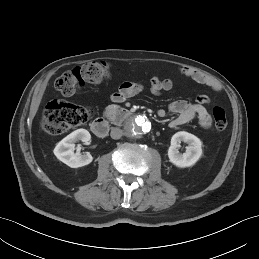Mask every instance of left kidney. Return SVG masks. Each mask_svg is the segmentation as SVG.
<instances>
[{
    "label": "left kidney",
    "instance_id": "5707ae66",
    "mask_svg": "<svg viewBox=\"0 0 259 259\" xmlns=\"http://www.w3.org/2000/svg\"><path fill=\"white\" fill-rule=\"evenodd\" d=\"M181 142L188 144L186 151L180 153L178 147ZM202 156V142L195 135L180 131L171 138V146L168 149L169 161L177 167L185 168L193 166Z\"/></svg>",
    "mask_w": 259,
    "mask_h": 259
}]
</instances>
